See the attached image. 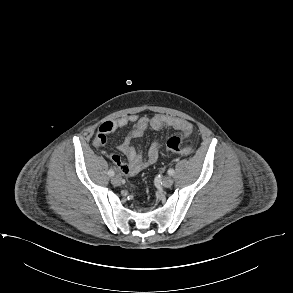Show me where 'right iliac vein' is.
Wrapping results in <instances>:
<instances>
[{
  "label": "right iliac vein",
  "mask_w": 293,
  "mask_h": 293,
  "mask_svg": "<svg viewBox=\"0 0 293 293\" xmlns=\"http://www.w3.org/2000/svg\"><path fill=\"white\" fill-rule=\"evenodd\" d=\"M111 183L114 185V186H119L121 184V178L120 176L118 175H115L111 178Z\"/></svg>",
  "instance_id": "obj_1"
}]
</instances>
